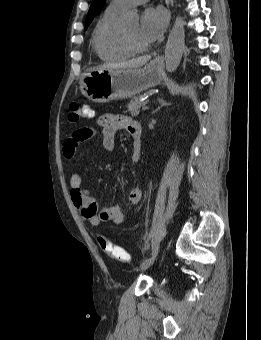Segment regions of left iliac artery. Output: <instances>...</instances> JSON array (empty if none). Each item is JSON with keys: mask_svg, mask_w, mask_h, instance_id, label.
Returning <instances> with one entry per match:
<instances>
[{"mask_svg": "<svg viewBox=\"0 0 261 340\" xmlns=\"http://www.w3.org/2000/svg\"><path fill=\"white\" fill-rule=\"evenodd\" d=\"M159 248H160L159 240L153 239L151 241V246H150V254H151V256L152 255H156L158 253V251H159Z\"/></svg>", "mask_w": 261, "mask_h": 340, "instance_id": "44dca946", "label": "left iliac artery"}]
</instances>
